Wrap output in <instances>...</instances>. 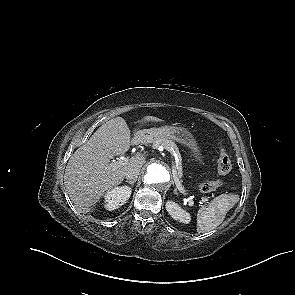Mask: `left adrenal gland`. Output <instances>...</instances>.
<instances>
[{
  "instance_id": "a2214340",
  "label": "left adrenal gland",
  "mask_w": 295,
  "mask_h": 295,
  "mask_svg": "<svg viewBox=\"0 0 295 295\" xmlns=\"http://www.w3.org/2000/svg\"><path fill=\"white\" fill-rule=\"evenodd\" d=\"M173 192H174L175 194H177V189L175 188Z\"/></svg>"
}]
</instances>
